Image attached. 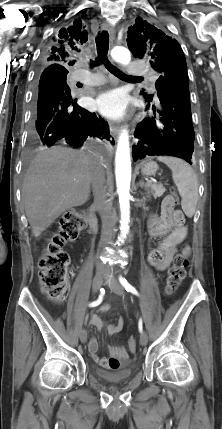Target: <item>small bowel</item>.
I'll return each instance as SVG.
<instances>
[{"label": "small bowel", "instance_id": "1", "mask_svg": "<svg viewBox=\"0 0 222 429\" xmlns=\"http://www.w3.org/2000/svg\"><path fill=\"white\" fill-rule=\"evenodd\" d=\"M149 234L153 238H162L161 242L153 248L148 255V262L158 271L167 269L172 262L177 246L182 243L188 233V228L185 225V217L180 210H176L173 204L163 202L160 214H151L148 219ZM183 253L188 256L190 254L189 246H185ZM109 311V304H105L101 312ZM90 324L98 330L106 329L110 335L117 334L124 327V319L121 317L114 324L106 325L102 319L95 315L90 319ZM98 341L92 337L88 343V350L92 359L102 368L105 369H120L129 363V354L124 346L109 345L108 357L98 355Z\"/></svg>", "mask_w": 222, "mask_h": 429}]
</instances>
